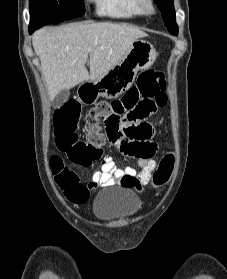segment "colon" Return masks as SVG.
<instances>
[{"mask_svg":"<svg viewBox=\"0 0 227 279\" xmlns=\"http://www.w3.org/2000/svg\"><path fill=\"white\" fill-rule=\"evenodd\" d=\"M165 75L151 69L139 73L137 82L120 98L99 102L87 114L89 142L80 139L77 124L81 117V106L70 100L58 108L53 116L54 135L60 151L69 161L79 166H89L103 152L102 130L118 137L123 131L132 143L128 145V155L136 159H149L156 152V146L150 141L154 128L150 124L135 125L152 116L158 108L165 106L167 96ZM52 173L59 179L61 188L68 196L74 197L84 187L78 175L67 167L64 159L53 154L50 157ZM174 169V157L166 155L160 161L152 179L156 185L166 184ZM128 185L139 187V180L131 178Z\"/></svg>","mask_w":227,"mask_h":279,"instance_id":"obj_1","label":"colon"}]
</instances>
